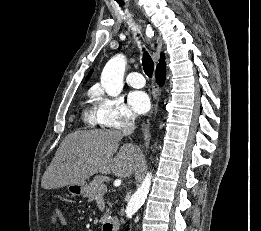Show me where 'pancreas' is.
<instances>
[{"instance_id": "pancreas-1", "label": "pancreas", "mask_w": 261, "mask_h": 231, "mask_svg": "<svg viewBox=\"0 0 261 231\" xmlns=\"http://www.w3.org/2000/svg\"><path fill=\"white\" fill-rule=\"evenodd\" d=\"M104 178L102 176H97L94 180H92L88 185H86L85 188V194L84 196L87 197L90 201L94 200L95 197L99 194H104V192L100 191L101 187H104ZM109 206H111V203H109ZM110 213L109 209H106L103 217L100 219V221H105L108 218V215Z\"/></svg>"}]
</instances>
